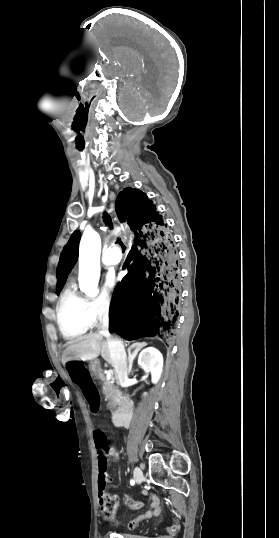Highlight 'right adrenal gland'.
Returning a JSON list of instances; mask_svg holds the SVG:
<instances>
[{"label":"right adrenal gland","instance_id":"obj_1","mask_svg":"<svg viewBox=\"0 0 279 538\" xmlns=\"http://www.w3.org/2000/svg\"><path fill=\"white\" fill-rule=\"evenodd\" d=\"M144 346H147V344H145V342H141V344H133V346H130V348H128L127 352H128V362H129V370H128V374H130L131 372V368H132V362L135 358V356H137L139 350H141V348H144ZM133 350V352H132Z\"/></svg>","mask_w":279,"mask_h":538}]
</instances>
